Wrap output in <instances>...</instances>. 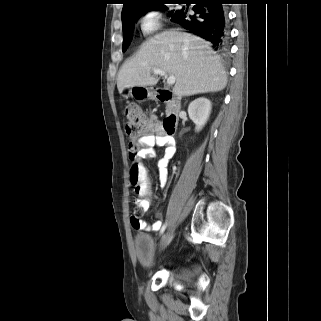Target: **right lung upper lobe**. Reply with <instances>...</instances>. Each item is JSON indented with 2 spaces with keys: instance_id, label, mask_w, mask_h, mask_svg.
Masks as SVG:
<instances>
[{
  "instance_id": "right-lung-upper-lobe-1",
  "label": "right lung upper lobe",
  "mask_w": 321,
  "mask_h": 321,
  "mask_svg": "<svg viewBox=\"0 0 321 321\" xmlns=\"http://www.w3.org/2000/svg\"><path fill=\"white\" fill-rule=\"evenodd\" d=\"M167 0H123L124 6L122 9L121 17L138 12L148 6L155 5L158 2Z\"/></svg>"
}]
</instances>
